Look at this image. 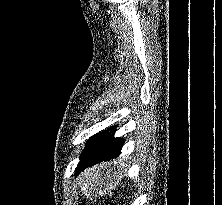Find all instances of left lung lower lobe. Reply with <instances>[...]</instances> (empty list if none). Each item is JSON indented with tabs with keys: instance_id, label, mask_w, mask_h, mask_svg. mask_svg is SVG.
<instances>
[{
	"instance_id": "1",
	"label": "left lung lower lobe",
	"mask_w": 222,
	"mask_h": 205,
	"mask_svg": "<svg viewBox=\"0 0 222 205\" xmlns=\"http://www.w3.org/2000/svg\"><path fill=\"white\" fill-rule=\"evenodd\" d=\"M116 126L101 132L88 154L77 165L76 174L101 162H112L121 154L124 139L115 138Z\"/></svg>"
}]
</instances>
